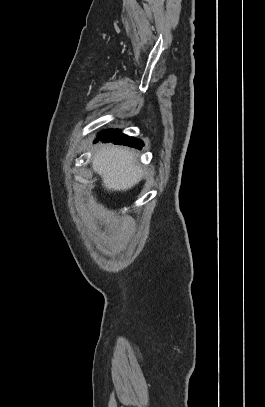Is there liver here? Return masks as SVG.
<instances>
[{"mask_svg": "<svg viewBox=\"0 0 265 407\" xmlns=\"http://www.w3.org/2000/svg\"><path fill=\"white\" fill-rule=\"evenodd\" d=\"M92 168L110 191H126L142 180L143 171L133 152L114 145L102 146L92 158Z\"/></svg>", "mask_w": 265, "mask_h": 407, "instance_id": "6515ba94", "label": "liver"}]
</instances>
